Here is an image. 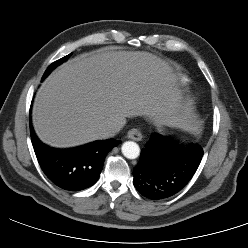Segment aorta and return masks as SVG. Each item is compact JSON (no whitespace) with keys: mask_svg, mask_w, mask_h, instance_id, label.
<instances>
[{"mask_svg":"<svg viewBox=\"0 0 248 248\" xmlns=\"http://www.w3.org/2000/svg\"><path fill=\"white\" fill-rule=\"evenodd\" d=\"M121 150L122 154L128 159H136L140 155V147L133 141L123 143Z\"/></svg>","mask_w":248,"mask_h":248,"instance_id":"obj_1","label":"aorta"}]
</instances>
